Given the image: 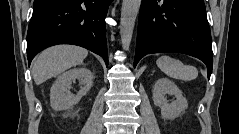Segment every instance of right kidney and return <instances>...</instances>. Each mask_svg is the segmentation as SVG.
Wrapping results in <instances>:
<instances>
[{"label":"right kidney","instance_id":"ca27d5eb","mask_svg":"<svg viewBox=\"0 0 239 134\" xmlns=\"http://www.w3.org/2000/svg\"><path fill=\"white\" fill-rule=\"evenodd\" d=\"M93 74L87 68H74L62 73L50 90V104L56 111L68 110L73 105L77 104L82 96L86 95L93 84ZM78 79L80 81L81 89L73 95L70 92L72 83Z\"/></svg>","mask_w":239,"mask_h":134}]
</instances>
